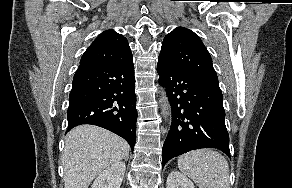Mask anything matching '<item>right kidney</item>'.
Wrapping results in <instances>:
<instances>
[{"label":"right kidney","instance_id":"1","mask_svg":"<svg viewBox=\"0 0 292 188\" xmlns=\"http://www.w3.org/2000/svg\"><path fill=\"white\" fill-rule=\"evenodd\" d=\"M125 168L122 161L111 164L97 176L91 188H120Z\"/></svg>","mask_w":292,"mask_h":188}]
</instances>
